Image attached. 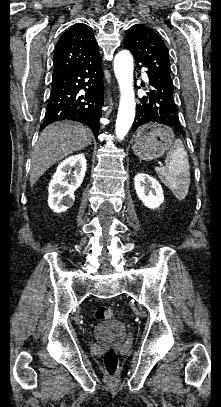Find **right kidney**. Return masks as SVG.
Wrapping results in <instances>:
<instances>
[{
	"label": "right kidney",
	"mask_w": 221,
	"mask_h": 407,
	"mask_svg": "<svg viewBox=\"0 0 221 407\" xmlns=\"http://www.w3.org/2000/svg\"><path fill=\"white\" fill-rule=\"evenodd\" d=\"M86 166L84 154L70 156L58 165L48 188V205L54 212H65L73 204L74 191L82 184Z\"/></svg>",
	"instance_id": "obj_1"
}]
</instances>
